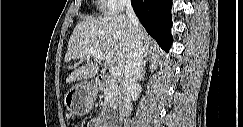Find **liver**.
<instances>
[{
  "label": "liver",
  "mask_w": 243,
  "mask_h": 127,
  "mask_svg": "<svg viewBox=\"0 0 243 127\" xmlns=\"http://www.w3.org/2000/svg\"><path fill=\"white\" fill-rule=\"evenodd\" d=\"M139 33L144 47V56L150 53L154 42L141 27ZM133 35L131 21L124 14L107 16L100 19L86 18L74 28L68 42L65 62L80 59L66 78V83L94 77L99 71L98 61L87 54L90 49L105 54L106 66H117L124 75ZM83 59L86 60L83 63Z\"/></svg>",
  "instance_id": "6515ba94"
}]
</instances>
